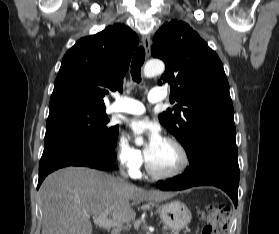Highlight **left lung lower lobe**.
<instances>
[{
    "mask_svg": "<svg viewBox=\"0 0 279 234\" xmlns=\"http://www.w3.org/2000/svg\"><path fill=\"white\" fill-rule=\"evenodd\" d=\"M235 135H215L203 140L186 171L165 182H157L161 190H182L199 185H213L238 201L239 166Z\"/></svg>",
    "mask_w": 279,
    "mask_h": 234,
    "instance_id": "1",
    "label": "left lung lower lobe"
}]
</instances>
